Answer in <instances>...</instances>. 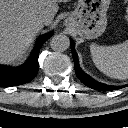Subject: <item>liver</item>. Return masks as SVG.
Here are the masks:
<instances>
[{
  "label": "liver",
  "mask_w": 128,
  "mask_h": 128,
  "mask_svg": "<svg viewBox=\"0 0 128 128\" xmlns=\"http://www.w3.org/2000/svg\"><path fill=\"white\" fill-rule=\"evenodd\" d=\"M70 0H0V63L18 59L40 32L49 26L57 13L60 2ZM42 10H47L49 20H39Z\"/></svg>",
  "instance_id": "6515ba94"
}]
</instances>
